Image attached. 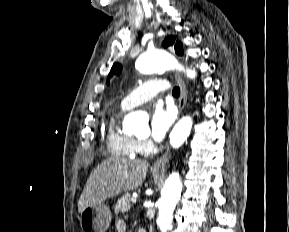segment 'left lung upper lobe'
I'll use <instances>...</instances> for the list:
<instances>
[{
  "label": "left lung upper lobe",
  "instance_id": "left-lung-upper-lobe-1",
  "mask_svg": "<svg viewBox=\"0 0 289 232\" xmlns=\"http://www.w3.org/2000/svg\"><path fill=\"white\" fill-rule=\"evenodd\" d=\"M163 47H168V46H172L174 45V48H175V52L178 54V55H182L183 54V48H182V44L180 41H176L175 37L174 36H168L165 38V40L163 41L162 43ZM121 72V65L118 64V63H115L112 68H111V71L108 75V78L107 80H109L111 78V76L113 74H116V75H119Z\"/></svg>",
  "mask_w": 289,
  "mask_h": 232
}]
</instances>
